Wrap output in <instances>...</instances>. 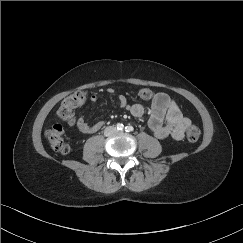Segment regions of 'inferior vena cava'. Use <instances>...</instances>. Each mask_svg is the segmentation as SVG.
Instances as JSON below:
<instances>
[{
  "instance_id": "obj_1",
  "label": "inferior vena cava",
  "mask_w": 243,
  "mask_h": 243,
  "mask_svg": "<svg viewBox=\"0 0 243 243\" xmlns=\"http://www.w3.org/2000/svg\"><path fill=\"white\" fill-rule=\"evenodd\" d=\"M116 131V129L113 126H109L105 129V134L108 136L111 133H114Z\"/></svg>"
}]
</instances>
